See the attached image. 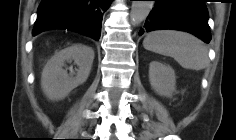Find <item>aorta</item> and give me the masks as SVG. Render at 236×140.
Masks as SVG:
<instances>
[{"instance_id": "1", "label": "aorta", "mask_w": 236, "mask_h": 140, "mask_svg": "<svg viewBox=\"0 0 236 140\" xmlns=\"http://www.w3.org/2000/svg\"><path fill=\"white\" fill-rule=\"evenodd\" d=\"M152 1H132L130 21L133 25L140 24L148 16Z\"/></svg>"}]
</instances>
